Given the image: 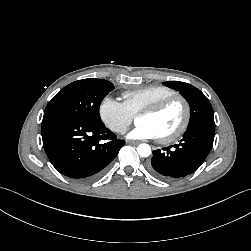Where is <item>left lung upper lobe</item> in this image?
<instances>
[{"label": "left lung upper lobe", "mask_w": 251, "mask_h": 251, "mask_svg": "<svg viewBox=\"0 0 251 251\" xmlns=\"http://www.w3.org/2000/svg\"><path fill=\"white\" fill-rule=\"evenodd\" d=\"M166 83L180 90L188 99L190 104L188 128L198 124L215 125L212 106L199 89L180 81H167Z\"/></svg>", "instance_id": "left-lung-upper-lobe-1"}]
</instances>
